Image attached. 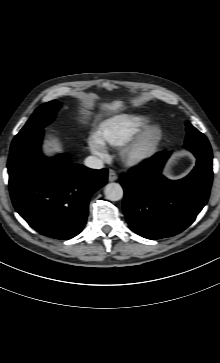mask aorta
<instances>
[{
    "mask_svg": "<svg viewBox=\"0 0 220 363\" xmlns=\"http://www.w3.org/2000/svg\"><path fill=\"white\" fill-rule=\"evenodd\" d=\"M105 197L110 201H118L123 198V188L118 183H109L104 188Z\"/></svg>",
    "mask_w": 220,
    "mask_h": 363,
    "instance_id": "1",
    "label": "aorta"
}]
</instances>
